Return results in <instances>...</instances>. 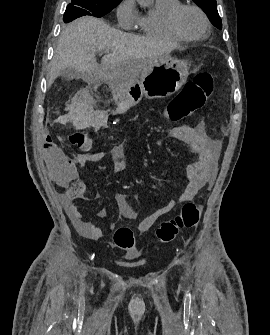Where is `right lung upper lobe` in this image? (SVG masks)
<instances>
[{
	"label": "right lung upper lobe",
	"instance_id": "1",
	"mask_svg": "<svg viewBox=\"0 0 270 335\" xmlns=\"http://www.w3.org/2000/svg\"><path fill=\"white\" fill-rule=\"evenodd\" d=\"M113 1H121V0H113Z\"/></svg>",
	"mask_w": 270,
	"mask_h": 335
}]
</instances>
